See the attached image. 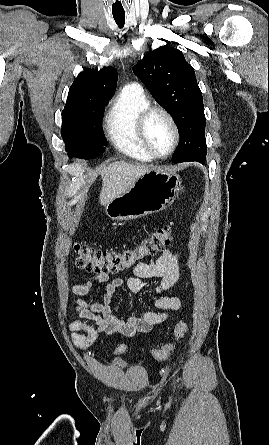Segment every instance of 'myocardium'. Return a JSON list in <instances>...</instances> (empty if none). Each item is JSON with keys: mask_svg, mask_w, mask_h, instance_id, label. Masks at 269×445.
Wrapping results in <instances>:
<instances>
[{"mask_svg": "<svg viewBox=\"0 0 269 445\" xmlns=\"http://www.w3.org/2000/svg\"><path fill=\"white\" fill-rule=\"evenodd\" d=\"M155 113H161L163 114L168 121L171 124L172 130H173V143L171 148L168 152L165 154H158L150 145L147 135H146V126L150 119V117ZM137 134L140 140V143L144 147V149L152 155L155 159H165L171 156L176 148L178 147L179 141H180V130L178 123L175 119V117L172 115L170 111H168L166 108L161 106H149L146 109H144L141 114L139 115L138 121H137Z\"/></svg>", "mask_w": 269, "mask_h": 445, "instance_id": "myocardium-1", "label": "myocardium"}]
</instances>
